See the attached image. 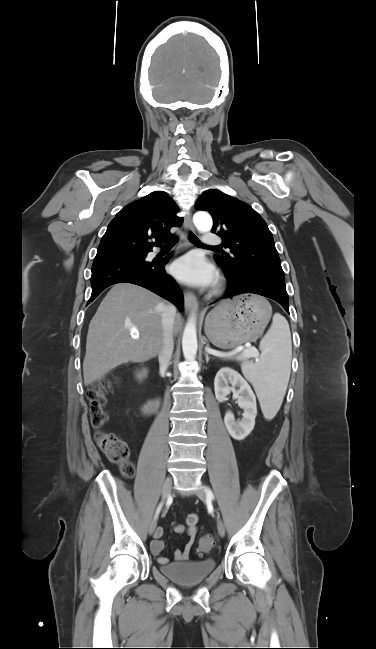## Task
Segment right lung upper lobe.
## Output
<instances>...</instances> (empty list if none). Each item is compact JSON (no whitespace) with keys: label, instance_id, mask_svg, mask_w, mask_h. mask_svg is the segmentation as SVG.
Instances as JSON below:
<instances>
[{"label":"right lung upper lobe","instance_id":"1","mask_svg":"<svg viewBox=\"0 0 376 649\" xmlns=\"http://www.w3.org/2000/svg\"><path fill=\"white\" fill-rule=\"evenodd\" d=\"M178 211V206L163 191L152 192L128 204L109 223L97 255L151 250L171 235L172 227L182 225L183 218L176 215ZM151 238L156 242L151 243Z\"/></svg>","mask_w":376,"mask_h":649}]
</instances>
